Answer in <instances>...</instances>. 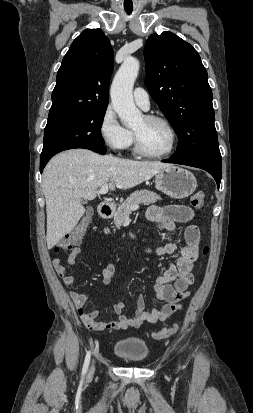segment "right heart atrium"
Listing matches in <instances>:
<instances>
[{
	"mask_svg": "<svg viewBox=\"0 0 253 413\" xmlns=\"http://www.w3.org/2000/svg\"><path fill=\"white\" fill-rule=\"evenodd\" d=\"M99 134L103 142L116 151L128 149L133 141L132 132L119 122L110 106L104 110L100 118Z\"/></svg>",
	"mask_w": 253,
	"mask_h": 413,
	"instance_id": "right-heart-atrium-1",
	"label": "right heart atrium"
}]
</instances>
